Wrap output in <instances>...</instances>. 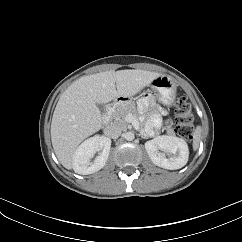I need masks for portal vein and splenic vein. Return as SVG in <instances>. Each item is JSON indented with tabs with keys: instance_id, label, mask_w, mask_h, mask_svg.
<instances>
[{
	"instance_id": "1",
	"label": "portal vein and splenic vein",
	"mask_w": 242,
	"mask_h": 242,
	"mask_svg": "<svg viewBox=\"0 0 242 242\" xmlns=\"http://www.w3.org/2000/svg\"><path fill=\"white\" fill-rule=\"evenodd\" d=\"M125 121L128 123H132V125L138 129L139 127V122L137 121V119L132 115V114H128L125 118Z\"/></svg>"
}]
</instances>
